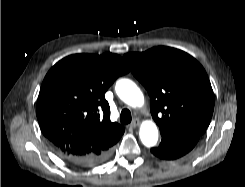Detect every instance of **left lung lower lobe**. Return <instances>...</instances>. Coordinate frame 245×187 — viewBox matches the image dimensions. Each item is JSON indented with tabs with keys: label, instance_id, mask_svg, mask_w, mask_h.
Listing matches in <instances>:
<instances>
[{
	"label": "left lung lower lobe",
	"instance_id": "left-lung-lower-lobe-1",
	"mask_svg": "<svg viewBox=\"0 0 245 187\" xmlns=\"http://www.w3.org/2000/svg\"><path fill=\"white\" fill-rule=\"evenodd\" d=\"M162 141L151 152L165 160L180 158L191 151L201 135L198 134H161Z\"/></svg>",
	"mask_w": 245,
	"mask_h": 187
}]
</instances>
